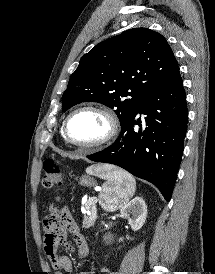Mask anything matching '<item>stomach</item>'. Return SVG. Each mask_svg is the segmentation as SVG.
Segmentation results:
<instances>
[{
	"instance_id": "stomach-1",
	"label": "stomach",
	"mask_w": 215,
	"mask_h": 274,
	"mask_svg": "<svg viewBox=\"0 0 215 274\" xmlns=\"http://www.w3.org/2000/svg\"><path fill=\"white\" fill-rule=\"evenodd\" d=\"M80 184L86 187H93L96 184V182L94 178H92L91 176L83 175L80 178Z\"/></svg>"
}]
</instances>
